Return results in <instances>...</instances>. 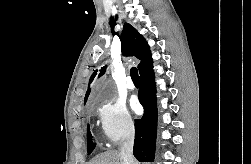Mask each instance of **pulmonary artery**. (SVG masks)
Listing matches in <instances>:
<instances>
[{
	"label": "pulmonary artery",
	"instance_id": "e3ab8cb5",
	"mask_svg": "<svg viewBox=\"0 0 251 164\" xmlns=\"http://www.w3.org/2000/svg\"><path fill=\"white\" fill-rule=\"evenodd\" d=\"M127 88L130 90H133L135 88V85H134L133 81L131 80V78L127 79Z\"/></svg>",
	"mask_w": 251,
	"mask_h": 164
}]
</instances>
